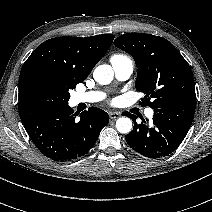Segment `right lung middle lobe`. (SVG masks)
<instances>
[{"label":"right lung middle lobe","mask_w":212,"mask_h":212,"mask_svg":"<svg viewBox=\"0 0 212 212\" xmlns=\"http://www.w3.org/2000/svg\"><path fill=\"white\" fill-rule=\"evenodd\" d=\"M76 85L60 81L49 75H35L29 78L19 93L20 101H53L68 103L69 90Z\"/></svg>","instance_id":"dd1d6c3e"}]
</instances>
